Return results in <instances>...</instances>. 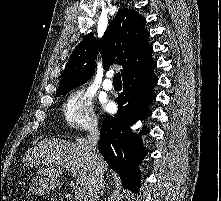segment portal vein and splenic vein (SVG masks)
<instances>
[{"label":"portal vein and splenic vein","mask_w":221,"mask_h":201,"mask_svg":"<svg viewBox=\"0 0 221 201\" xmlns=\"http://www.w3.org/2000/svg\"><path fill=\"white\" fill-rule=\"evenodd\" d=\"M68 171L72 172V169L68 168ZM75 197L77 199H82L84 197V189L80 186H76L75 188Z\"/></svg>","instance_id":"obj_1"}]
</instances>
